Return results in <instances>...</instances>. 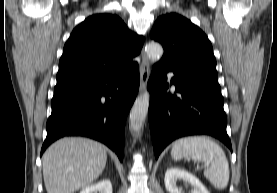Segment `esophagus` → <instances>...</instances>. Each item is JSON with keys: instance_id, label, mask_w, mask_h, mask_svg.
<instances>
[{"instance_id": "esophagus-1", "label": "esophagus", "mask_w": 277, "mask_h": 193, "mask_svg": "<svg viewBox=\"0 0 277 193\" xmlns=\"http://www.w3.org/2000/svg\"><path fill=\"white\" fill-rule=\"evenodd\" d=\"M149 77H150V65L143 48L141 51V64H140V92H143L146 89Z\"/></svg>"}]
</instances>
